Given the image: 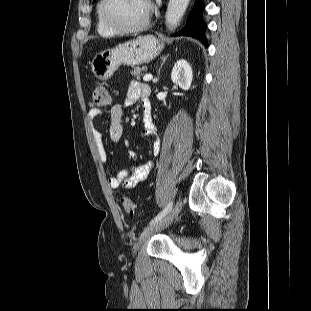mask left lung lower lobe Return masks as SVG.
<instances>
[{
	"label": "left lung lower lobe",
	"mask_w": 311,
	"mask_h": 311,
	"mask_svg": "<svg viewBox=\"0 0 311 311\" xmlns=\"http://www.w3.org/2000/svg\"><path fill=\"white\" fill-rule=\"evenodd\" d=\"M203 8V0H196L194 7L188 16V21L185 28L177 35L191 36L200 40L205 46H208L204 33L206 24L202 18Z\"/></svg>",
	"instance_id": "0a47b994"
}]
</instances>
